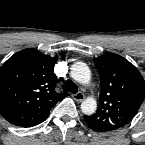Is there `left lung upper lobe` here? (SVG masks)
<instances>
[{
    "label": "left lung upper lobe",
    "mask_w": 145,
    "mask_h": 145,
    "mask_svg": "<svg viewBox=\"0 0 145 145\" xmlns=\"http://www.w3.org/2000/svg\"><path fill=\"white\" fill-rule=\"evenodd\" d=\"M94 62L102 90L97 112L84 119L93 129L113 131L129 123L138 112L145 98V81L134 65L117 54L102 55Z\"/></svg>",
    "instance_id": "1"
}]
</instances>
